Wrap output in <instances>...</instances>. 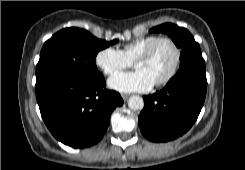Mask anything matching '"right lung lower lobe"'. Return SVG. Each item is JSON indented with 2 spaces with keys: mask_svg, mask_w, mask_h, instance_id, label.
<instances>
[{
  "mask_svg": "<svg viewBox=\"0 0 245 170\" xmlns=\"http://www.w3.org/2000/svg\"><path fill=\"white\" fill-rule=\"evenodd\" d=\"M41 116L52 135L73 148L98 143L113 110L123 104L120 94L106 89L103 75L67 77L36 90Z\"/></svg>",
  "mask_w": 245,
  "mask_h": 170,
  "instance_id": "right-lung-lower-lobe-1",
  "label": "right lung lower lobe"
}]
</instances>
